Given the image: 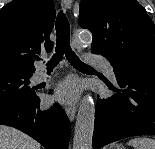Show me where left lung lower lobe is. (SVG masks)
<instances>
[{"instance_id": "left-lung-lower-lobe-1", "label": "left lung lower lobe", "mask_w": 155, "mask_h": 149, "mask_svg": "<svg viewBox=\"0 0 155 149\" xmlns=\"http://www.w3.org/2000/svg\"><path fill=\"white\" fill-rule=\"evenodd\" d=\"M93 53L110 61L117 82L125 88L98 98L93 148L131 136L155 135V58L114 59Z\"/></svg>"}]
</instances>
